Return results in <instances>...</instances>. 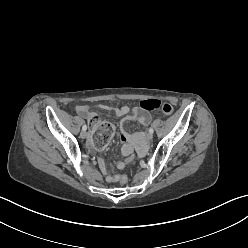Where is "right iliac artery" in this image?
I'll list each match as a JSON object with an SVG mask.
<instances>
[{"mask_svg": "<svg viewBox=\"0 0 248 248\" xmlns=\"http://www.w3.org/2000/svg\"><path fill=\"white\" fill-rule=\"evenodd\" d=\"M82 130H83V131H86V130H87V125H84V126L82 127Z\"/></svg>", "mask_w": 248, "mask_h": 248, "instance_id": "1", "label": "right iliac artery"}]
</instances>
